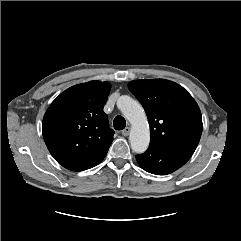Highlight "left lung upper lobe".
<instances>
[{
  "mask_svg": "<svg viewBox=\"0 0 241 241\" xmlns=\"http://www.w3.org/2000/svg\"><path fill=\"white\" fill-rule=\"evenodd\" d=\"M128 87L146 111L150 143L196 149L202 116L186 89L165 79L134 80Z\"/></svg>",
  "mask_w": 241,
  "mask_h": 241,
  "instance_id": "5c2ea615",
  "label": "left lung upper lobe"
}]
</instances>
